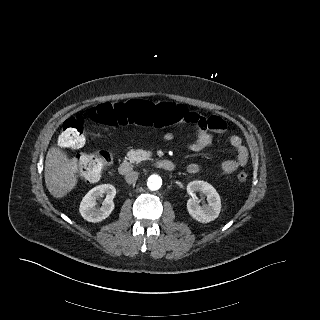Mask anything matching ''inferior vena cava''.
Returning <instances> with one entry per match:
<instances>
[{
  "mask_svg": "<svg viewBox=\"0 0 320 320\" xmlns=\"http://www.w3.org/2000/svg\"><path fill=\"white\" fill-rule=\"evenodd\" d=\"M138 175L136 171H129L125 176V180L128 184H133L137 181Z\"/></svg>",
  "mask_w": 320,
  "mask_h": 320,
  "instance_id": "1",
  "label": "inferior vena cava"
}]
</instances>
